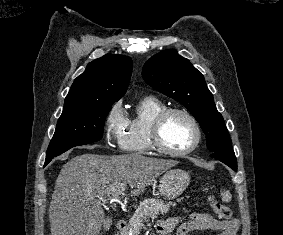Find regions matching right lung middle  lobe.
<instances>
[{
	"label": "right lung middle lobe",
	"mask_w": 283,
	"mask_h": 235,
	"mask_svg": "<svg viewBox=\"0 0 283 235\" xmlns=\"http://www.w3.org/2000/svg\"><path fill=\"white\" fill-rule=\"evenodd\" d=\"M114 102L65 103L45 163L72 147L101 140L105 119Z\"/></svg>",
	"instance_id": "dd1d6c3e"
}]
</instances>
